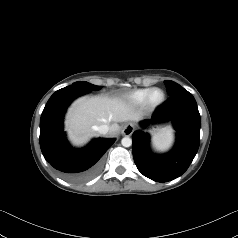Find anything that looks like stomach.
I'll list each match as a JSON object with an SVG mask.
<instances>
[{"instance_id": "stomach-1", "label": "stomach", "mask_w": 238, "mask_h": 238, "mask_svg": "<svg viewBox=\"0 0 238 238\" xmlns=\"http://www.w3.org/2000/svg\"><path fill=\"white\" fill-rule=\"evenodd\" d=\"M164 128L161 127H153L150 132L153 135L154 138H156L157 136H159V134L162 132Z\"/></svg>"}]
</instances>
